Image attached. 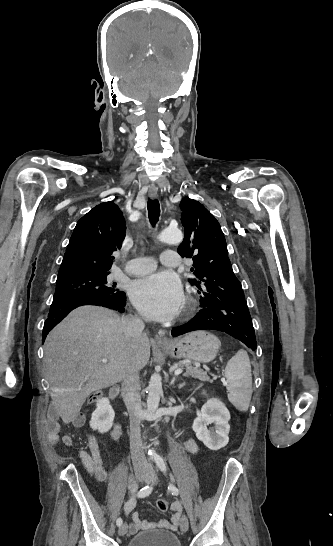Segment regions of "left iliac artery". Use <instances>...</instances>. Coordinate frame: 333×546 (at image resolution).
I'll list each match as a JSON object with an SVG mask.
<instances>
[{"label":"left iliac artery","mask_w":333,"mask_h":546,"mask_svg":"<svg viewBox=\"0 0 333 546\" xmlns=\"http://www.w3.org/2000/svg\"><path fill=\"white\" fill-rule=\"evenodd\" d=\"M154 460L156 462V465L157 467L162 471V472H166V464H165V461L162 457H160L159 455H154ZM168 489L170 490V492L173 494V495H178L179 491L178 489L176 488L175 485L173 484H170Z\"/></svg>","instance_id":"1"}]
</instances>
